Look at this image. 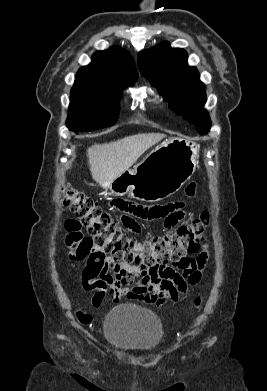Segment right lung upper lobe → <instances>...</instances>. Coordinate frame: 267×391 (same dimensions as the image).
I'll list each match as a JSON object with an SVG mask.
<instances>
[{
    "mask_svg": "<svg viewBox=\"0 0 267 391\" xmlns=\"http://www.w3.org/2000/svg\"><path fill=\"white\" fill-rule=\"evenodd\" d=\"M137 76L131 55L111 47L94 53L92 63L78 70L74 84L90 85L106 92H121L124 87L132 86Z\"/></svg>",
    "mask_w": 267,
    "mask_h": 391,
    "instance_id": "right-lung-upper-lobe-1",
    "label": "right lung upper lobe"
}]
</instances>
